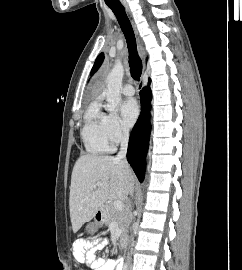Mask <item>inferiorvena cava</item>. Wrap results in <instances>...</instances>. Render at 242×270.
I'll return each instance as SVG.
<instances>
[{"label":"inferior vena cava","mask_w":242,"mask_h":270,"mask_svg":"<svg viewBox=\"0 0 242 270\" xmlns=\"http://www.w3.org/2000/svg\"><path fill=\"white\" fill-rule=\"evenodd\" d=\"M128 140H129V131L127 129L123 130L122 136H121V145H120V151L117 154V159L119 160H123L125 163L126 162V153H127V148H128ZM134 192V187L133 185H131L129 193L130 195H133ZM134 225H133V229H134ZM129 260H131V258L129 257Z\"/></svg>","instance_id":"inferior-vena-cava-1"}]
</instances>
